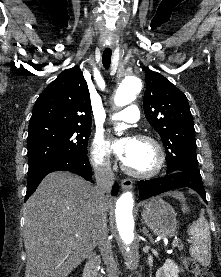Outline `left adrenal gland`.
Wrapping results in <instances>:
<instances>
[{
    "instance_id": "1",
    "label": "left adrenal gland",
    "mask_w": 221,
    "mask_h": 277,
    "mask_svg": "<svg viewBox=\"0 0 221 277\" xmlns=\"http://www.w3.org/2000/svg\"><path fill=\"white\" fill-rule=\"evenodd\" d=\"M142 230H143V234L146 235L152 243H154L153 238H152V235L149 234V231L146 229L145 226H143V229H142Z\"/></svg>"
}]
</instances>
